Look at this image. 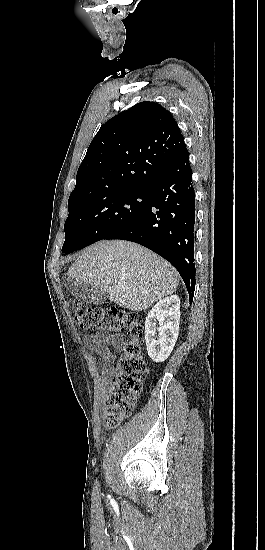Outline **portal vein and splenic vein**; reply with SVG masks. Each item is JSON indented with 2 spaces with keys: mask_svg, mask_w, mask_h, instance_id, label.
<instances>
[{
  "mask_svg": "<svg viewBox=\"0 0 265 550\" xmlns=\"http://www.w3.org/2000/svg\"><path fill=\"white\" fill-rule=\"evenodd\" d=\"M119 287H120L121 289H124V285H119Z\"/></svg>",
  "mask_w": 265,
  "mask_h": 550,
  "instance_id": "1",
  "label": "portal vein and splenic vein"
}]
</instances>
